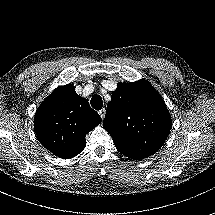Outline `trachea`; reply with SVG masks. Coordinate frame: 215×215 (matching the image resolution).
Instances as JSON below:
<instances>
[{
  "instance_id": "trachea-1",
  "label": "trachea",
  "mask_w": 215,
  "mask_h": 215,
  "mask_svg": "<svg viewBox=\"0 0 215 215\" xmlns=\"http://www.w3.org/2000/svg\"><path fill=\"white\" fill-rule=\"evenodd\" d=\"M91 106L96 109V110H100L103 107V100L99 95H94L91 98Z\"/></svg>"
}]
</instances>
